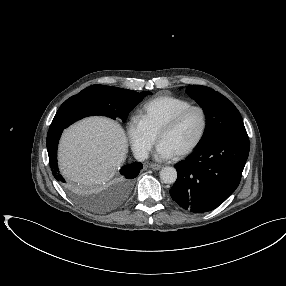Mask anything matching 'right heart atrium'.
<instances>
[{
  "label": "right heart atrium",
  "mask_w": 286,
  "mask_h": 286,
  "mask_svg": "<svg viewBox=\"0 0 286 286\" xmlns=\"http://www.w3.org/2000/svg\"><path fill=\"white\" fill-rule=\"evenodd\" d=\"M127 131L134 152L139 157H147L155 143L156 134L151 131L142 117L138 115L130 119Z\"/></svg>",
  "instance_id": "d8ad5b80"
}]
</instances>
